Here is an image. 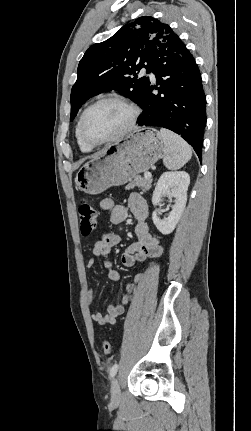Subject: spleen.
I'll use <instances>...</instances> for the list:
<instances>
[{
    "label": "spleen",
    "instance_id": "obj_1",
    "mask_svg": "<svg viewBox=\"0 0 251 431\" xmlns=\"http://www.w3.org/2000/svg\"><path fill=\"white\" fill-rule=\"evenodd\" d=\"M160 135L164 142V165L171 170L181 168L191 158L190 146L179 135L167 129H160Z\"/></svg>",
    "mask_w": 251,
    "mask_h": 431
}]
</instances>
